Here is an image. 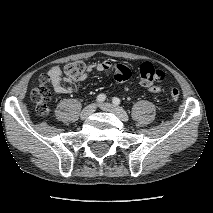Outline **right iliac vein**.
I'll use <instances>...</instances> for the list:
<instances>
[{"mask_svg": "<svg viewBox=\"0 0 213 213\" xmlns=\"http://www.w3.org/2000/svg\"><path fill=\"white\" fill-rule=\"evenodd\" d=\"M95 108L96 107L94 104H91V105H88L87 107H85L80 114L81 119L88 118L91 114L94 113Z\"/></svg>", "mask_w": 213, "mask_h": 213, "instance_id": "63e3f726", "label": "right iliac vein"}]
</instances>
